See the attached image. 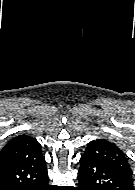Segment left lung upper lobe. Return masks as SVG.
Masks as SVG:
<instances>
[{
  "label": "left lung upper lobe",
  "mask_w": 135,
  "mask_h": 190,
  "mask_svg": "<svg viewBox=\"0 0 135 190\" xmlns=\"http://www.w3.org/2000/svg\"><path fill=\"white\" fill-rule=\"evenodd\" d=\"M83 155L100 159L117 169L122 175L132 182V170L125 154L114 143L98 139L88 143Z\"/></svg>",
  "instance_id": "1"
}]
</instances>
